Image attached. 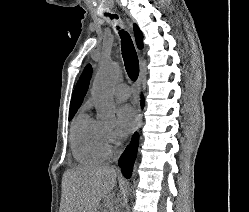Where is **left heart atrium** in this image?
Here are the masks:
<instances>
[{
  "label": "left heart atrium",
  "instance_id": "obj_1",
  "mask_svg": "<svg viewBox=\"0 0 249 212\" xmlns=\"http://www.w3.org/2000/svg\"><path fill=\"white\" fill-rule=\"evenodd\" d=\"M136 112L129 105H122L116 110L115 135L118 139L125 138L136 124Z\"/></svg>",
  "mask_w": 249,
  "mask_h": 212
}]
</instances>
